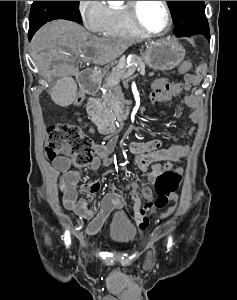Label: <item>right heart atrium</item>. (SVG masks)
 <instances>
[{
	"label": "right heart atrium",
	"instance_id": "d8ad5b80",
	"mask_svg": "<svg viewBox=\"0 0 237 300\" xmlns=\"http://www.w3.org/2000/svg\"><path fill=\"white\" fill-rule=\"evenodd\" d=\"M78 10L86 29L95 34L109 30V7L104 1H78Z\"/></svg>",
	"mask_w": 237,
	"mask_h": 300
}]
</instances>
